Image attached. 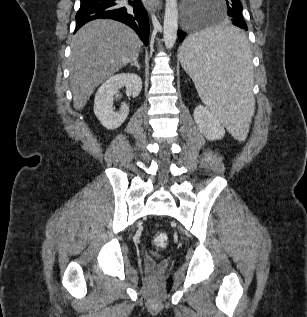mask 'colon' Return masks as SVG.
<instances>
[{
    "label": "colon",
    "instance_id": "obj_1",
    "mask_svg": "<svg viewBox=\"0 0 307 317\" xmlns=\"http://www.w3.org/2000/svg\"><path fill=\"white\" fill-rule=\"evenodd\" d=\"M168 237L164 232L158 233L153 240V245L156 250H160L166 247Z\"/></svg>",
    "mask_w": 307,
    "mask_h": 317
}]
</instances>
